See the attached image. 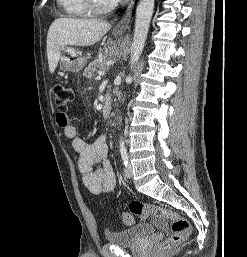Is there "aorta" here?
<instances>
[{"label": "aorta", "instance_id": "obj_1", "mask_svg": "<svg viewBox=\"0 0 247 257\" xmlns=\"http://www.w3.org/2000/svg\"><path fill=\"white\" fill-rule=\"evenodd\" d=\"M153 11H154V0H139L137 9H136L133 41L131 44V65L132 66L139 60L143 52L151 18L153 15ZM127 79L131 80L132 77L129 75Z\"/></svg>", "mask_w": 247, "mask_h": 257}]
</instances>
